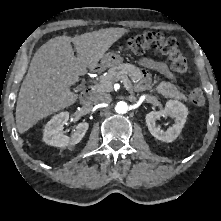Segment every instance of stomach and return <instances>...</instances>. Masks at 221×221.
<instances>
[{"label":"stomach","mask_w":221,"mask_h":221,"mask_svg":"<svg viewBox=\"0 0 221 221\" xmlns=\"http://www.w3.org/2000/svg\"><path fill=\"white\" fill-rule=\"evenodd\" d=\"M123 62V58L114 53V52H109L105 54L101 60V66L108 68V67H114L118 66Z\"/></svg>","instance_id":"stomach-1"}]
</instances>
